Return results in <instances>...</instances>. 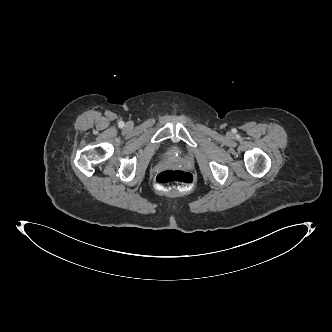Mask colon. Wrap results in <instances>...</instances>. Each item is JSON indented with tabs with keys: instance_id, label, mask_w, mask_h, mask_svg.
<instances>
[{
	"instance_id": "colon-1",
	"label": "colon",
	"mask_w": 332,
	"mask_h": 332,
	"mask_svg": "<svg viewBox=\"0 0 332 332\" xmlns=\"http://www.w3.org/2000/svg\"><path fill=\"white\" fill-rule=\"evenodd\" d=\"M155 185L162 191L190 190L194 185V177L181 169H166L156 175Z\"/></svg>"
}]
</instances>
